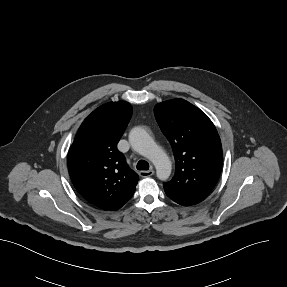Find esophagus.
<instances>
[{
  "label": "esophagus",
  "mask_w": 287,
  "mask_h": 287,
  "mask_svg": "<svg viewBox=\"0 0 287 287\" xmlns=\"http://www.w3.org/2000/svg\"><path fill=\"white\" fill-rule=\"evenodd\" d=\"M154 174V170L153 169H150V170H148V171H140L139 172V175L141 176V177H150V176H152Z\"/></svg>",
  "instance_id": "34e87169"
}]
</instances>
